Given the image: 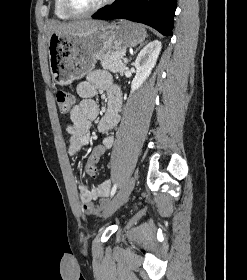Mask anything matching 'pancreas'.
<instances>
[{
	"mask_svg": "<svg viewBox=\"0 0 247 280\" xmlns=\"http://www.w3.org/2000/svg\"><path fill=\"white\" fill-rule=\"evenodd\" d=\"M124 55L125 49L112 51L101 59V65L104 69L123 75L126 68V62L122 61Z\"/></svg>",
	"mask_w": 247,
	"mask_h": 280,
	"instance_id": "1",
	"label": "pancreas"
}]
</instances>
